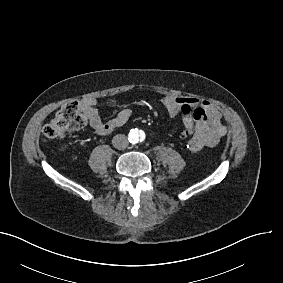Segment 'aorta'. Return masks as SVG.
<instances>
[{
  "label": "aorta",
  "mask_w": 283,
  "mask_h": 283,
  "mask_svg": "<svg viewBox=\"0 0 283 283\" xmlns=\"http://www.w3.org/2000/svg\"><path fill=\"white\" fill-rule=\"evenodd\" d=\"M145 137V132L138 128L131 129L128 134V139L132 144H137L139 142L144 141Z\"/></svg>",
  "instance_id": "aorta-1"
}]
</instances>
